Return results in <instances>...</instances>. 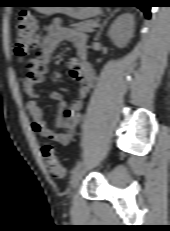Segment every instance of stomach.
<instances>
[{
  "mask_svg": "<svg viewBox=\"0 0 170 231\" xmlns=\"http://www.w3.org/2000/svg\"><path fill=\"white\" fill-rule=\"evenodd\" d=\"M40 4H72L69 6H59V7H35L37 11L45 15H52L54 13H64L68 16L77 19H87L95 14V10L88 7H79L80 5L74 4L75 1L69 0H43L39 2Z\"/></svg>",
  "mask_w": 170,
  "mask_h": 231,
  "instance_id": "1",
  "label": "stomach"
}]
</instances>
